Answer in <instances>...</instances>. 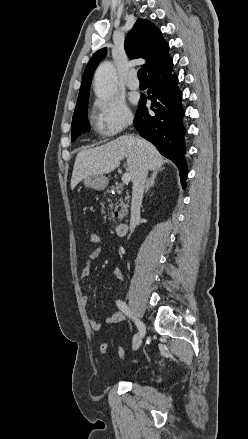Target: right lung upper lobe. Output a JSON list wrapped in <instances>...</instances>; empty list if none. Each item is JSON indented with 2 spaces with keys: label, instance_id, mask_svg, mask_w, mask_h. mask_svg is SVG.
Instances as JSON below:
<instances>
[{
  "label": "right lung upper lobe",
  "instance_id": "obj_1",
  "mask_svg": "<svg viewBox=\"0 0 248 439\" xmlns=\"http://www.w3.org/2000/svg\"><path fill=\"white\" fill-rule=\"evenodd\" d=\"M125 50L129 57L143 58L148 74L159 70L172 62L169 56V45L165 42L161 31L150 21L138 19L125 39ZM106 48L95 52L87 64L79 90L75 110L88 101L89 88L94 71L99 61L105 56Z\"/></svg>",
  "mask_w": 248,
  "mask_h": 439
}]
</instances>
